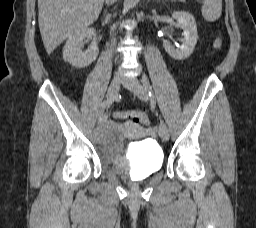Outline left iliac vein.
I'll list each match as a JSON object with an SVG mask.
<instances>
[{
	"mask_svg": "<svg viewBox=\"0 0 256 228\" xmlns=\"http://www.w3.org/2000/svg\"><path fill=\"white\" fill-rule=\"evenodd\" d=\"M124 86L128 88L130 91H132L139 99L146 101L148 100V93L145 89V87L140 83V81L135 78H126L124 79ZM159 136L163 141H168L169 139V130L167 128V125L164 123V121L160 122L159 125Z\"/></svg>",
	"mask_w": 256,
	"mask_h": 228,
	"instance_id": "4c4485c4",
	"label": "left iliac vein"
}]
</instances>
